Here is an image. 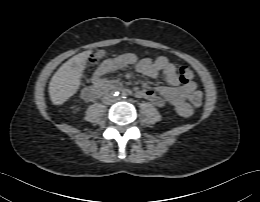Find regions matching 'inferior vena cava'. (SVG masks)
I'll use <instances>...</instances> for the list:
<instances>
[{
    "mask_svg": "<svg viewBox=\"0 0 260 202\" xmlns=\"http://www.w3.org/2000/svg\"><path fill=\"white\" fill-rule=\"evenodd\" d=\"M108 97H110V96H106V97H104V102H106V101H107L106 99H107Z\"/></svg>",
    "mask_w": 260,
    "mask_h": 202,
    "instance_id": "602c4592",
    "label": "inferior vena cava"
}]
</instances>
